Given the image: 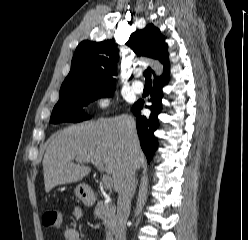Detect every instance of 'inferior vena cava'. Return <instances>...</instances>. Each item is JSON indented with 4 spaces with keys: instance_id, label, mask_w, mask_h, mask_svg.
I'll return each mask as SVG.
<instances>
[{
    "instance_id": "602c4592",
    "label": "inferior vena cava",
    "mask_w": 248,
    "mask_h": 240,
    "mask_svg": "<svg viewBox=\"0 0 248 240\" xmlns=\"http://www.w3.org/2000/svg\"><path fill=\"white\" fill-rule=\"evenodd\" d=\"M135 128V127H133ZM136 131V129H135ZM134 136H136L134 134ZM136 163L133 157H130L127 168L118 186L117 201V238L126 239V223L130 212L131 198L135 186Z\"/></svg>"
}]
</instances>
